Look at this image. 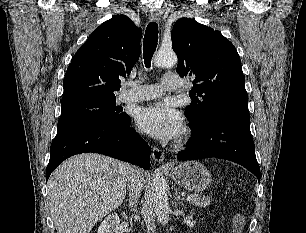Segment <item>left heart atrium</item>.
Here are the masks:
<instances>
[{
  "label": "left heart atrium",
  "instance_id": "left-heart-atrium-1",
  "mask_svg": "<svg viewBox=\"0 0 306 233\" xmlns=\"http://www.w3.org/2000/svg\"><path fill=\"white\" fill-rule=\"evenodd\" d=\"M138 128L162 140H172L182 130V118L168 102H156L140 109L136 118Z\"/></svg>",
  "mask_w": 306,
  "mask_h": 233
}]
</instances>
